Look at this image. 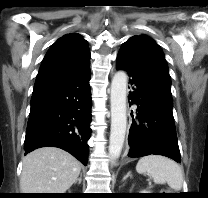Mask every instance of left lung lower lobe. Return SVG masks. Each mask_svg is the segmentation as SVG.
Wrapping results in <instances>:
<instances>
[{"mask_svg": "<svg viewBox=\"0 0 208 198\" xmlns=\"http://www.w3.org/2000/svg\"><path fill=\"white\" fill-rule=\"evenodd\" d=\"M116 69L127 71L132 86L131 105H137V117L133 118L128 137V156L155 154L181 162L171 90L160 82L138 42L122 45Z\"/></svg>", "mask_w": 208, "mask_h": 198, "instance_id": "left-lung-lower-lobe-1", "label": "left lung lower lobe"}]
</instances>
